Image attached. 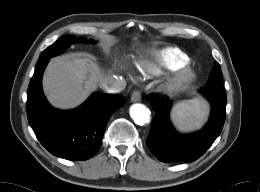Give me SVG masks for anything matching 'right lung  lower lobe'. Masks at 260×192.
<instances>
[{
    "instance_id": "right-lung-lower-lobe-1",
    "label": "right lung lower lobe",
    "mask_w": 260,
    "mask_h": 192,
    "mask_svg": "<svg viewBox=\"0 0 260 192\" xmlns=\"http://www.w3.org/2000/svg\"><path fill=\"white\" fill-rule=\"evenodd\" d=\"M49 60L38 63L27 93V116L36 137L53 155L86 160L99 149L111 115L125 104L118 94L94 93L82 106L60 111L49 105L42 91V75Z\"/></svg>"
}]
</instances>
